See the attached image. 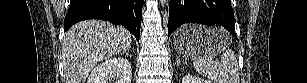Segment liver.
I'll return each mask as SVG.
<instances>
[{
	"label": "liver",
	"mask_w": 307,
	"mask_h": 83,
	"mask_svg": "<svg viewBox=\"0 0 307 83\" xmlns=\"http://www.w3.org/2000/svg\"><path fill=\"white\" fill-rule=\"evenodd\" d=\"M131 34L122 26L101 20L75 24L62 41L64 83H84L101 60L130 48Z\"/></svg>",
	"instance_id": "6515ba94"
}]
</instances>
